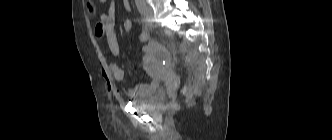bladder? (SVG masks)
I'll list each match as a JSON object with an SVG mask.
<instances>
[{
  "mask_svg": "<svg viewBox=\"0 0 332 140\" xmlns=\"http://www.w3.org/2000/svg\"><path fill=\"white\" fill-rule=\"evenodd\" d=\"M146 85V91L131 100L136 107L149 108L163 101L164 95L160 89L159 82L154 80Z\"/></svg>",
  "mask_w": 332,
  "mask_h": 140,
  "instance_id": "bladder-1",
  "label": "bladder"
}]
</instances>
